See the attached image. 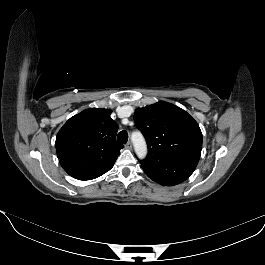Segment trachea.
<instances>
[{"instance_id": "1", "label": "trachea", "mask_w": 265, "mask_h": 265, "mask_svg": "<svg viewBox=\"0 0 265 265\" xmlns=\"http://www.w3.org/2000/svg\"><path fill=\"white\" fill-rule=\"evenodd\" d=\"M127 140H128V133L125 130L118 133V136H117L118 142L122 144H126Z\"/></svg>"}]
</instances>
